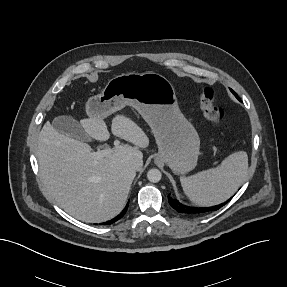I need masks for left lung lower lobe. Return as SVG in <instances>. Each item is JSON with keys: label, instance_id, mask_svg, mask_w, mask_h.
Listing matches in <instances>:
<instances>
[{"label": "left lung lower lobe", "instance_id": "0a47b994", "mask_svg": "<svg viewBox=\"0 0 287 287\" xmlns=\"http://www.w3.org/2000/svg\"><path fill=\"white\" fill-rule=\"evenodd\" d=\"M168 200H169V204L177 212H179L181 214H186V215H201V214H205V213L210 212V211H215V210H218L219 208H221L222 206H224L228 202V201H226L225 203H222L220 205H216L213 207L198 208V207L186 206V205L180 203L178 200L172 199L169 195H168Z\"/></svg>", "mask_w": 287, "mask_h": 287}]
</instances>
